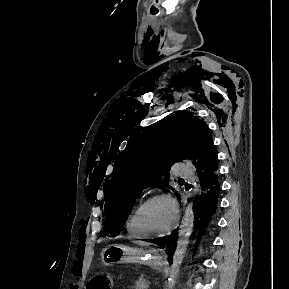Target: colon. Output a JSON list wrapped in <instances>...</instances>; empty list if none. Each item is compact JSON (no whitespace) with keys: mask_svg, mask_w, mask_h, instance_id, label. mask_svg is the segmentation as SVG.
<instances>
[{"mask_svg":"<svg viewBox=\"0 0 289 289\" xmlns=\"http://www.w3.org/2000/svg\"><path fill=\"white\" fill-rule=\"evenodd\" d=\"M87 289H109V282L103 275H95L87 283Z\"/></svg>","mask_w":289,"mask_h":289,"instance_id":"1","label":"colon"}]
</instances>
